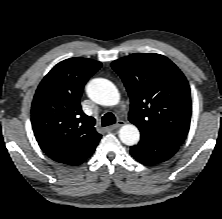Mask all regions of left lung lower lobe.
<instances>
[{
    "instance_id": "obj_1",
    "label": "left lung lower lobe",
    "mask_w": 222,
    "mask_h": 219,
    "mask_svg": "<svg viewBox=\"0 0 222 219\" xmlns=\"http://www.w3.org/2000/svg\"><path fill=\"white\" fill-rule=\"evenodd\" d=\"M179 146L141 133V140L137 145L130 147L131 155L145 165H154L172 157Z\"/></svg>"
}]
</instances>
